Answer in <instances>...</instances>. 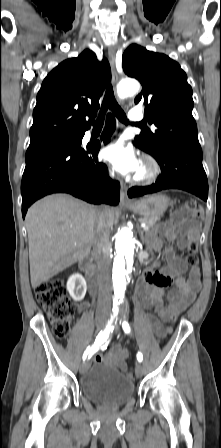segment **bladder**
I'll use <instances>...</instances> for the list:
<instances>
[{"label": "bladder", "mask_w": 221, "mask_h": 448, "mask_svg": "<svg viewBox=\"0 0 221 448\" xmlns=\"http://www.w3.org/2000/svg\"><path fill=\"white\" fill-rule=\"evenodd\" d=\"M80 391L88 400L107 407H120L133 399L132 379L112 363L103 361L86 371L80 380Z\"/></svg>", "instance_id": "1"}]
</instances>
